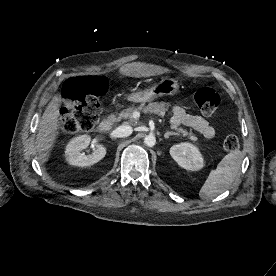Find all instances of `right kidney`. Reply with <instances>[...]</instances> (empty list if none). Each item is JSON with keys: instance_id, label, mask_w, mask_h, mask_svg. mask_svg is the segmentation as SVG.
I'll use <instances>...</instances> for the list:
<instances>
[{"instance_id": "right-kidney-1", "label": "right kidney", "mask_w": 276, "mask_h": 276, "mask_svg": "<svg viewBox=\"0 0 276 276\" xmlns=\"http://www.w3.org/2000/svg\"><path fill=\"white\" fill-rule=\"evenodd\" d=\"M91 138L89 135H81L73 138L66 146L65 158L66 161L74 166L85 167L92 166L99 162L106 155V148L97 144L96 149L92 154L85 155L82 152L90 144Z\"/></svg>"}]
</instances>
